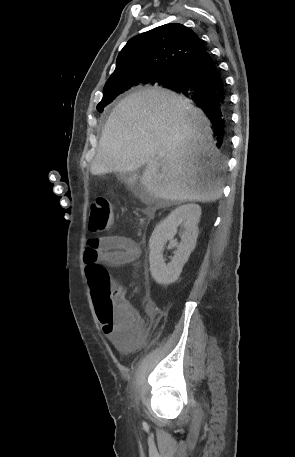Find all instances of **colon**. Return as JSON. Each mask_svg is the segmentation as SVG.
Segmentation results:
<instances>
[{
	"instance_id": "1",
	"label": "colon",
	"mask_w": 295,
	"mask_h": 457,
	"mask_svg": "<svg viewBox=\"0 0 295 457\" xmlns=\"http://www.w3.org/2000/svg\"><path fill=\"white\" fill-rule=\"evenodd\" d=\"M113 222V211L110 202L104 197L96 198L90 208L89 228L94 233L110 230ZM85 273L91 290L98 319L112 321L119 311L121 299L118 286L114 285L110 276L98 262H90Z\"/></svg>"
}]
</instances>
